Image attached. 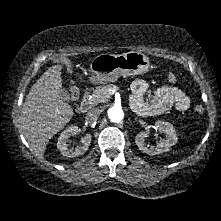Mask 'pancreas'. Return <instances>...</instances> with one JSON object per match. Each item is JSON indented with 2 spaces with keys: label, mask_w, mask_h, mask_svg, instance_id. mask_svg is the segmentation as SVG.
I'll return each mask as SVG.
<instances>
[{
  "label": "pancreas",
  "mask_w": 221,
  "mask_h": 221,
  "mask_svg": "<svg viewBox=\"0 0 221 221\" xmlns=\"http://www.w3.org/2000/svg\"><path fill=\"white\" fill-rule=\"evenodd\" d=\"M113 89L117 90V87L114 84L96 87L92 93V98L90 99L91 103L93 105H97L99 103L108 101L111 95L110 91Z\"/></svg>",
  "instance_id": "obj_1"
}]
</instances>
